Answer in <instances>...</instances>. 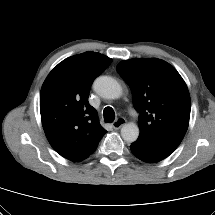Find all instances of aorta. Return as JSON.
Masks as SVG:
<instances>
[{"label":"aorta","instance_id":"1","mask_svg":"<svg viewBox=\"0 0 215 215\" xmlns=\"http://www.w3.org/2000/svg\"><path fill=\"white\" fill-rule=\"evenodd\" d=\"M94 91L106 99H118L122 96L121 85L112 77L99 76L93 83ZM121 136L127 142H134L139 136V127L135 123H127L121 128Z\"/></svg>","mask_w":215,"mask_h":215}]
</instances>
